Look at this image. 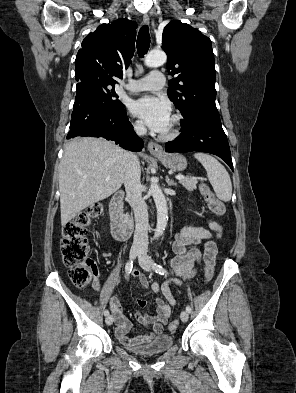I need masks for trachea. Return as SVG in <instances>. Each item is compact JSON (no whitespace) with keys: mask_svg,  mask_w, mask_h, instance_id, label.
<instances>
[{"mask_svg":"<svg viewBox=\"0 0 296 393\" xmlns=\"http://www.w3.org/2000/svg\"><path fill=\"white\" fill-rule=\"evenodd\" d=\"M150 47V35L147 25L141 27L137 37V52L140 57H143Z\"/></svg>","mask_w":296,"mask_h":393,"instance_id":"1","label":"trachea"}]
</instances>
